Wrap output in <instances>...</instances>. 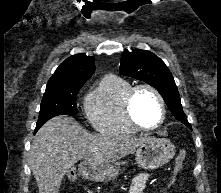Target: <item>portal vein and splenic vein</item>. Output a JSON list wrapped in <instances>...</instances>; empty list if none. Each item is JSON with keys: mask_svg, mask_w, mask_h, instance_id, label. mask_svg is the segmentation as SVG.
I'll return each mask as SVG.
<instances>
[{"mask_svg": "<svg viewBox=\"0 0 221 193\" xmlns=\"http://www.w3.org/2000/svg\"><path fill=\"white\" fill-rule=\"evenodd\" d=\"M91 151L95 152V151H96V149H95V148H92V149H91Z\"/></svg>", "mask_w": 221, "mask_h": 193, "instance_id": "18ae733b", "label": "portal vein and splenic vein"}]
</instances>
